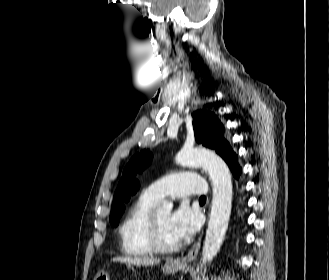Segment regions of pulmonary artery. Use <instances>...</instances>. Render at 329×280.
<instances>
[{
  "instance_id": "1",
  "label": "pulmonary artery",
  "mask_w": 329,
  "mask_h": 280,
  "mask_svg": "<svg viewBox=\"0 0 329 280\" xmlns=\"http://www.w3.org/2000/svg\"><path fill=\"white\" fill-rule=\"evenodd\" d=\"M206 191V184L202 178L198 174L189 171L163 177L150 184L145 190V192L157 199H161L165 195L173 197L202 196Z\"/></svg>"
}]
</instances>
